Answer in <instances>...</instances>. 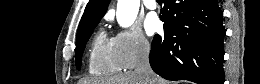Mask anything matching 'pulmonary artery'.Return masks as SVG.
I'll return each mask as SVG.
<instances>
[{
  "mask_svg": "<svg viewBox=\"0 0 260 84\" xmlns=\"http://www.w3.org/2000/svg\"><path fill=\"white\" fill-rule=\"evenodd\" d=\"M143 3L149 10H155L157 8V3L154 0H144Z\"/></svg>",
  "mask_w": 260,
  "mask_h": 84,
  "instance_id": "obj_1",
  "label": "pulmonary artery"
}]
</instances>
